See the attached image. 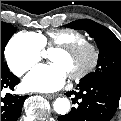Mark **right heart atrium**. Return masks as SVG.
<instances>
[{"instance_id":"d8ad5b80","label":"right heart atrium","mask_w":121,"mask_h":121,"mask_svg":"<svg viewBox=\"0 0 121 121\" xmlns=\"http://www.w3.org/2000/svg\"><path fill=\"white\" fill-rule=\"evenodd\" d=\"M5 57L9 68L22 75L40 60L41 46L33 36L18 33L9 40Z\"/></svg>"}]
</instances>
